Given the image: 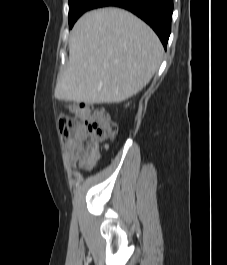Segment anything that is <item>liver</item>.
<instances>
[{
	"label": "liver",
	"mask_w": 227,
	"mask_h": 265,
	"mask_svg": "<svg viewBox=\"0 0 227 265\" xmlns=\"http://www.w3.org/2000/svg\"><path fill=\"white\" fill-rule=\"evenodd\" d=\"M163 52L154 31L132 13L88 12L71 31L69 62L58 76L55 96L66 102L119 103L150 82Z\"/></svg>",
	"instance_id": "6515ba94"
}]
</instances>
